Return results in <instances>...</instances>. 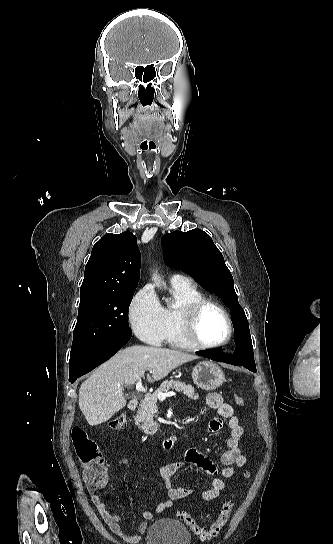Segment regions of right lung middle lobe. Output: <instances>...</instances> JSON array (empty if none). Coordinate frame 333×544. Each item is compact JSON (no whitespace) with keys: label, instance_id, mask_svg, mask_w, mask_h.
I'll list each match as a JSON object with an SVG mask.
<instances>
[{"label":"right lung middle lobe","instance_id":"dd1d6c3e","mask_svg":"<svg viewBox=\"0 0 333 544\" xmlns=\"http://www.w3.org/2000/svg\"><path fill=\"white\" fill-rule=\"evenodd\" d=\"M134 292L105 293L79 305L70 365L102 342L121 333H132L128 325V308Z\"/></svg>","mask_w":333,"mask_h":544}]
</instances>
